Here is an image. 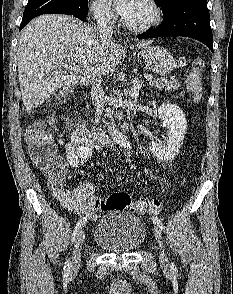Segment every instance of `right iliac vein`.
I'll list each match as a JSON object with an SVG mask.
<instances>
[{"label":"right iliac vein","mask_w":233,"mask_h":294,"mask_svg":"<svg viewBox=\"0 0 233 294\" xmlns=\"http://www.w3.org/2000/svg\"><path fill=\"white\" fill-rule=\"evenodd\" d=\"M85 239V231L81 229L76 237L73 254H72V261H71V268L72 270H77L80 266V257H81V248L84 243Z\"/></svg>","instance_id":"obj_1"}]
</instances>
